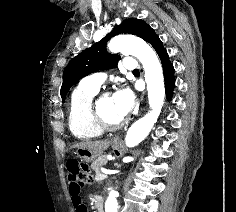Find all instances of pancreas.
I'll return each mask as SVG.
<instances>
[{
  "mask_svg": "<svg viewBox=\"0 0 236 212\" xmlns=\"http://www.w3.org/2000/svg\"><path fill=\"white\" fill-rule=\"evenodd\" d=\"M106 163V159L105 158H98L96 159L92 165L91 168L95 171L96 175H95V180L99 181L101 180L98 176L101 175V166L104 165Z\"/></svg>",
  "mask_w": 236,
  "mask_h": 212,
  "instance_id": "cf45deb5",
  "label": "pancreas"
}]
</instances>
